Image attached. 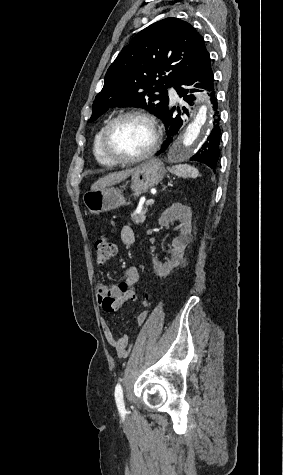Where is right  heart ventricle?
I'll return each mask as SVG.
<instances>
[{"mask_svg": "<svg viewBox=\"0 0 283 475\" xmlns=\"http://www.w3.org/2000/svg\"><path fill=\"white\" fill-rule=\"evenodd\" d=\"M108 122L109 120L103 122L93 136L92 152L97 162H108L105 156H103L100 148L101 136Z\"/></svg>", "mask_w": 283, "mask_h": 475, "instance_id": "obj_1", "label": "right heart ventricle"}]
</instances>
